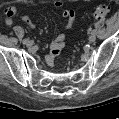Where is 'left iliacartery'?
<instances>
[{"label":"left iliac artery","instance_id":"44dca946","mask_svg":"<svg viewBox=\"0 0 119 119\" xmlns=\"http://www.w3.org/2000/svg\"><path fill=\"white\" fill-rule=\"evenodd\" d=\"M95 33H96V30H93V31H92V34H95Z\"/></svg>","mask_w":119,"mask_h":119}]
</instances>
